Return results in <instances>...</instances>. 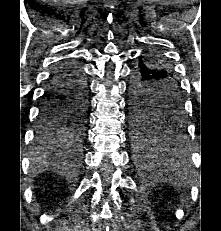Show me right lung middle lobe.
<instances>
[{"mask_svg":"<svg viewBox=\"0 0 221 231\" xmlns=\"http://www.w3.org/2000/svg\"><path fill=\"white\" fill-rule=\"evenodd\" d=\"M87 99L51 104L41 113L37 143L56 146L64 142H78L83 137Z\"/></svg>","mask_w":221,"mask_h":231,"instance_id":"right-lung-middle-lobe-1","label":"right lung middle lobe"}]
</instances>
